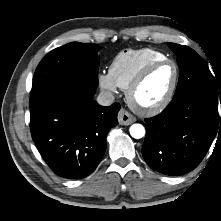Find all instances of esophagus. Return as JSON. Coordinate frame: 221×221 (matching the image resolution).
Listing matches in <instances>:
<instances>
[{
  "label": "esophagus",
  "mask_w": 221,
  "mask_h": 221,
  "mask_svg": "<svg viewBox=\"0 0 221 221\" xmlns=\"http://www.w3.org/2000/svg\"><path fill=\"white\" fill-rule=\"evenodd\" d=\"M136 121V118L127 110L121 109L118 113V122L120 125H130Z\"/></svg>",
  "instance_id": "obj_1"
}]
</instances>
